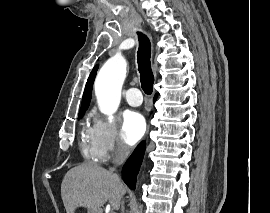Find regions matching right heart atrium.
Wrapping results in <instances>:
<instances>
[{"instance_id":"obj_1","label":"right heart atrium","mask_w":270,"mask_h":213,"mask_svg":"<svg viewBox=\"0 0 270 213\" xmlns=\"http://www.w3.org/2000/svg\"><path fill=\"white\" fill-rule=\"evenodd\" d=\"M96 139L101 152V159L119 158L126 154L127 148L118 139L116 126L103 119L95 121Z\"/></svg>"}]
</instances>
